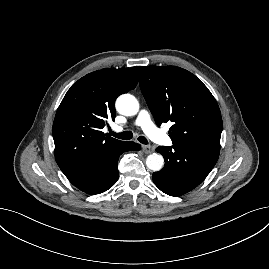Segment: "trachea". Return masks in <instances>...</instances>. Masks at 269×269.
I'll use <instances>...</instances> for the list:
<instances>
[{
	"mask_svg": "<svg viewBox=\"0 0 269 269\" xmlns=\"http://www.w3.org/2000/svg\"><path fill=\"white\" fill-rule=\"evenodd\" d=\"M112 136L118 138V139H123V140H129L133 137V134L131 131H124L121 133H115V132H110ZM138 141L142 144H148L147 139L144 136H139Z\"/></svg>",
	"mask_w": 269,
	"mask_h": 269,
	"instance_id": "1",
	"label": "trachea"
}]
</instances>
